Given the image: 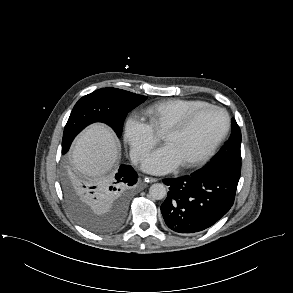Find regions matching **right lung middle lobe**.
<instances>
[{
    "label": "right lung middle lobe",
    "mask_w": 293,
    "mask_h": 293,
    "mask_svg": "<svg viewBox=\"0 0 293 293\" xmlns=\"http://www.w3.org/2000/svg\"><path fill=\"white\" fill-rule=\"evenodd\" d=\"M146 96L117 88H102L83 96L74 106L64 129L62 153H66L75 136L86 126L94 122L109 125L121 136L124 119L129 111L146 100ZM63 190L67 204L75 219L85 228L106 233L120 221L111 219L106 214H99L89 208L81 198L77 178L68 173L63 177Z\"/></svg>",
    "instance_id": "dd1d6c3e"
}]
</instances>
